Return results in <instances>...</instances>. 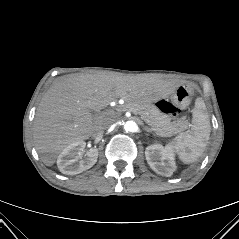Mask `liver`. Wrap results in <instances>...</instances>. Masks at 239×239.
Wrapping results in <instances>:
<instances>
[{"mask_svg":"<svg viewBox=\"0 0 239 239\" xmlns=\"http://www.w3.org/2000/svg\"><path fill=\"white\" fill-rule=\"evenodd\" d=\"M170 85L143 76L73 74L53 82L42 98L34 119L33 138L42 162L52 166L67 146L92 136L106 119L100 111L118 98L126 103H150L163 96Z\"/></svg>","mask_w":239,"mask_h":239,"instance_id":"1","label":"liver"}]
</instances>
